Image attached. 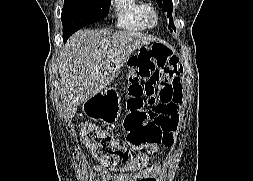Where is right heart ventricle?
<instances>
[{
	"label": "right heart ventricle",
	"instance_id": "obj_1",
	"mask_svg": "<svg viewBox=\"0 0 253 181\" xmlns=\"http://www.w3.org/2000/svg\"><path fill=\"white\" fill-rule=\"evenodd\" d=\"M145 0H111L112 14L115 25L131 32L145 31L140 12Z\"/></svg>",
	"mask_w": 253,
	"mask_h": 181
}]
</instances>
